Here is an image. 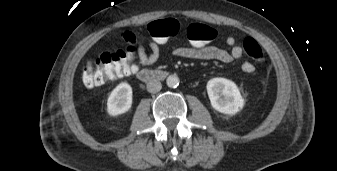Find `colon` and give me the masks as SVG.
I'll return each mask as SVG.
<instances>
[{
  "label": "colon",
  "instance_id": "colon-1",
  "mask_svg": "<svg viewBox=\"0 0 337 171\" xmlns=\"http://www.w3.org/2000/svg\"><path fill=\"white\" fill-rule=\"evenodd\" d=\"M180 30L179 22L174 18L152 21L148 25L150 36L159 45H166ZM216 30L202 23H191L186 29V36L193 46H202L216 37ZM245 53L254 61L264 63L265 53L261 45L252 37L243 41ZM135 49L129 46L126 50L101 54L95 63L84 70L82 80L86 87L101 86L127 75L135 68Z\"/></svg>",
  "mask_w": 337,
  "mask_h": 171
}]
</instances>
